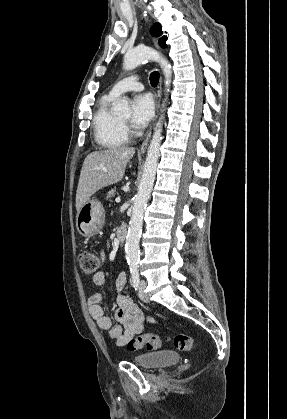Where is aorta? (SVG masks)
Segmentation results:
<instances>
[{
  "mask_svg": "<svg viewBox=\"0 0 287 419\" xmlns=\"http://www.w3.org/2000/svg\"><path fill=\"white\" fill-rule=\"evenodd\" d=\"M154 60L160 63L161 68L163 69L165 77V87L169 91L171 84L172 70L169 62L160 56V54L150 48L145 46L136 47L134 49L128 50L124 55L123 67L125 70H133L139 66L142 62ZM166 101V99H165ZM164 101V102H165ZM164 103L162 107L164 108ZM115 110L118 113L130 114V109L128 101L126 98L121 99V101L116 105ZM164 109L162 110V112ZM162 114L156 123L154 128V133L150 142V145L147 150V156L144 163V169L140 184L138 186V192L134 198L133 209L130 218V224L128 228V233L126 236L125 244V253L127 263L130 270L136 271L138 269V264L140 260V249L139 241L142 232L143 225V216L147 207L148 200L150 198L151 191L153 189L156 170L158 165V159L160 155V144L162 140V123H163Z\"/></svg>",
  "mask_w": 287,
  "mask_h": 419,
  "instance_id": "obj_1",
  "label": "aorta"
}]
</instances>
